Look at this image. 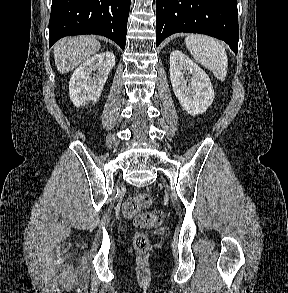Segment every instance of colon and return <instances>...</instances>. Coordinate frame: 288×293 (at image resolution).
I'll return each instance as SVG.
<instances>
[{
	"mask_svg": "<svg viewBox=\"0 0 288 293\" xmlns=\"http://www.w3.org/2000/svg\"><path fill=\"white\" fill-rule=\"evenodd\" d=\"M152 198L149 194H139L128 198L122 206L123 215L132 218L135 226L139 228H151L159 225L164 217L160 210L141 212L151 205ZM133 247L137 252L143 253L149 247V239L144 234H137L133 238Z\"/></svg>",
	"mask_w": 288,
	"mask_h": 293,
	"instance_id": "obj_1",
	"label": "colon"
}]
</instances>
